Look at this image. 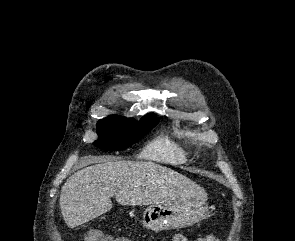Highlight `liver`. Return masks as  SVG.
Segmentation results:
<instances>
[{
	"label": "liver",
	"mask_w": 295,
	"mask_h": 241,
	"mask_svg": "<svg viewBox=\"0 0 295 241\" xmlns=\"http://www.w3.org/2000/svg\"><path fill=\"white\" fill-rule=\"evenodd\" d=\"M114 195L119 204L130 206L207 199L200 185L170 168L103 158L74 173L63 185L60 209L65 223L74 228L108 212Z\"/></svg>",
	"instance_id": "liver-1"
}]
</instances>
